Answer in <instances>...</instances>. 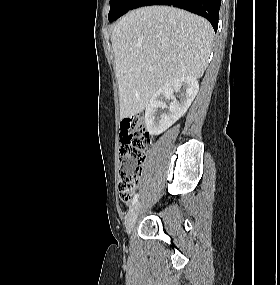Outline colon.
Instances as JSON below:
<instances>
[{
	"label": "colon",
	"mask_w": 280,
	"mask_h": 285,
	"mask_svg": "<svg viewBox=\"0 0 280 285\" xmlns=\"http://www.w3.org/2000/svg\"><path fill=\"white\" fill-rule=\"evenodd\" d=\"M149 144L150 134L142 114L133 115L121 122L118 192L123 201L128 202L134 196Z\"/></svg>",
	"instance_id": "colon-1"
}]
</instances>
